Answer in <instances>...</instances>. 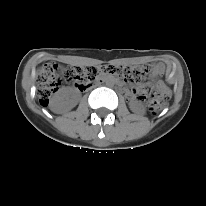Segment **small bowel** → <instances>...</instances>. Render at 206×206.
<instances>
[{
  "label": "small bowel",
  "mask_w": 206,
  "mask_h": 206,
  "mask_svg": "<svg viewBox=\"0 0 206 206\" xmlns=\"http://www.w3.org/2000/svg\"><path fill=\"white\" fill-rule=\"evenodd\" d=\"M163 71H164V65H163L162 63L157 64V65L154 67V69H153V72H154L155 74H161ZM129 93H130L131 95H133V94H134V90H131Z\"/></svg>",
  "instance_id": "1"
}]
</instances>
